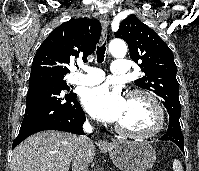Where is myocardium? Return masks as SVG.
Instances as JSON below:
<instances>
[{
	"label": "myocardium",
	"instance_id": "myocardium-1",
	"mask_svg": "<svg viewBox=\"0 0 199 171\" xmlns=\"http://www.w3.org/2000/svg\"><path fill=\"white\" fill-rule=\"evenodd\" d=\"M143 97L146 99L149 104L151 105V108L154 113V125L144 131H131L127 130L120 125L116 124L115 125V130L117 133L126 136V137H131V138H150L155 135H157L163 128L164 123H165V114L163 107L160 103V101L157 99L156 96H154L152 93L149 91H146L144 89H133L128 92L127 94V99L133 98V97Z\"/></svg>",
	"mask_w": 199,
	"mask_h": 171
}]
</instances>
